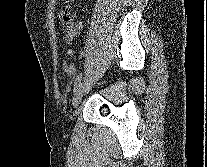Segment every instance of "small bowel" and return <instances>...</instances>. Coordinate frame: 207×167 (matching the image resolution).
Segmentation results:
<instances>
[{
    "label": "small bowel",
    "mask_w": 207,
    "mask_h": 167,
    "mask_svg": "<svg viewBox=\"0 0 207 167\" xmlns=\"http://www.w3.org/2000/svg\"><path fill=\"white\" fill-rule=\"evenodd\" d=\"M82 28L81 24H78L77 26L74 27L73 31L65 37V44L68 45L69 41L79 33L80 29ZM67 55L68 56H73L74 51L72 49L67 50ZM62 69L63 71L68 74V75H74L76 73V66L72 62H63L62 64Z\"/></svg>",
    "instance_id": "obj_1"
}]
</instances>
